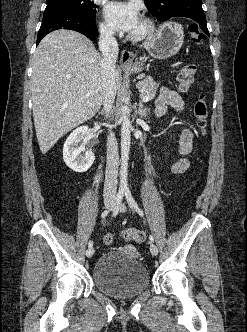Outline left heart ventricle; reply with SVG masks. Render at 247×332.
<instances>
[{
	"mask_svg": "<svg viewBox=\"0 0 247 332\" xmlns=\"http://www.w3.org/2000/svg\"><path fill=\"white\" fill-rule=\"evenodd\" d=\"M142 28H143V24H142V22L140 21L139 24H138V26L136 27V29L133 31V33L141 31Z\"/></svg>",
	"mask_w": 247,
	"mask_h": 332,
	"instance_id": "left-heart-ventricle-1",
	"label": "left heart ventricle"
}]
</instances>
